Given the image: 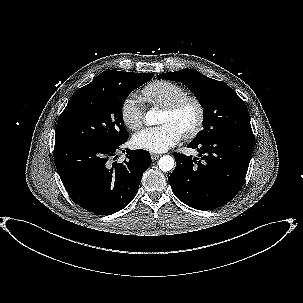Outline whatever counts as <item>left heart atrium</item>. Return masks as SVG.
Returning a JSON list of instances; mask_svg holds the SVG:
<instances>
[{"instance_id": "39dd6f15", "label": "left heart atrium", "mask_w": 303, "mask_h": 303, "mask_svg": "<svg viewBox=\"0 0 303 303\" xmlns=\"http://www.w3.org/2000/svg\"><path fill=\"white\" fill-rule=\"evenodd\" d=\"M182 138L181 131L171 123L143 129L133 136L136 148L161 153L176 145Z\"/></svg>"}]
</instances>
